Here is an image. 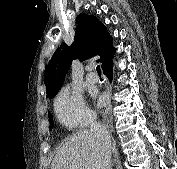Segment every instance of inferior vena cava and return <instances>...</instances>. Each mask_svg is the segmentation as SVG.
Segmentation results:
<instances>
[{"mask_svg": "<svg viewBox=\"0 0 177 169\" xmlns=\"http://www.w3.org/2000/svg\"><path fill=\"white\" fill-rule=\"evenodd\" d=\"M90 131L95 135L101 146V169H111V137L107 129L101 123L94 120L91 123Z\"/></svg>", "mask_w": 177, "mask_h": 169, "instance_id": "1", "label": "inferior vena cava"}]
</instances>
